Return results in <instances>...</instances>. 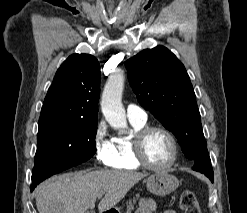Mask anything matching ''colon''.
I'll list each match as a JSON object with an SVG mask.
<instances>
[{"label":"colon","instance_id":"colon-1","mask_svg":"<svg viewBox=\"0 0 247 213\" xmlns=\"http://www.w3.org/2000/svg\"><path fill=\"white\" fill-rule=\"evenodd\" d=\"M180 208L183 213H201V209L195 194L186 190L180 197Z\"/></svg>","mask_w":247,"mask_h":213}]
</instances>
